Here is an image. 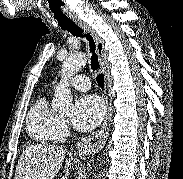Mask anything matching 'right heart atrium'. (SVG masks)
Instances as JSON below:
<instances>
[{
  "label": "right heart atrium",
  "mask_w": 183,
  "mask_h": 179,
  "mask_svg": "<svg viewBox=\"0 0 183 179\" xmlns=\"http://www.w3.org/2000/svg\"><path fill=\"white\" fill-rule=\"evenodd\" d=\"M68 132L67 120L61 116H58L54 124V134L57 136H63Z\"/></svg>",
  "instance_id": "d8ad5b80"
}]
</instances>
